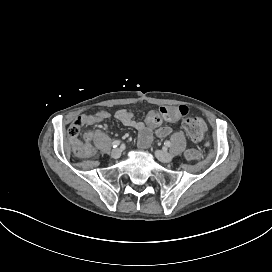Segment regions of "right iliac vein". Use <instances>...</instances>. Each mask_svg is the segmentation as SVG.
<instances>
[{
  "label": "right iliac vein",
  "instance_id": "right-iliac-vein-1",
  "mask_svg": "<svg viewBox=\"0 0 272 272\" xmlns=\"http://www.w3.org/2000/svg\"><path fill=\"white\" fill-rule=\"evenodd\" d=\"M121 156V150L116 148L111 151V157L114 159H118Z\"/></svg>",
  "mask_w": 272,
  "mask_h": 272
}]
</instances>
